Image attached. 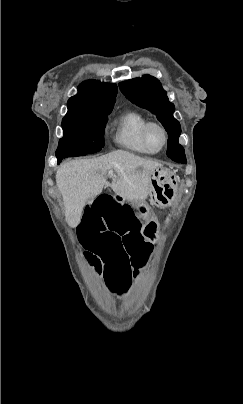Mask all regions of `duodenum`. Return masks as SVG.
I'll use <instances>...</instances> for the list:
<instances>
[{
	"label": "duodenum",
	"mask_w": 243,
	"mask_h": 404,
	"mask_svg": "<svg viewBox=\"0 0 243 404\" xmlns=\"http://www.w3.org/2000/svg\"><path fill=\"white\" fill-rule=\"evenodd\" d=\"M117 196L120 200L126 201L129 203L128 199L126 198V196H124L121 192L117 193Z\"/></svg>",
	"instance_id": "1"
}]
</instances>
